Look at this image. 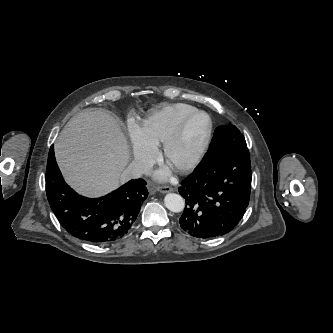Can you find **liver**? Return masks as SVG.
I'll return each instance as SVG.
<instances>
[{"mask_svg":"<svg viewBox=\"0 0 333 333\" xmlns=\"http://www.w3.org/2000/svg\"><path fill=\"white\" fill-rule=\"evenodd\" d=\"M54 149L67 183L87 196L116 188L129 160L119 124L103 110H84L71 118Z\"/></svg>","mask_w":333,"mask_h":333,"instance_id":"liver-1","label":"liver"}]
</instances>
